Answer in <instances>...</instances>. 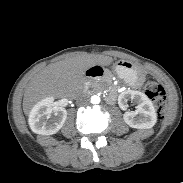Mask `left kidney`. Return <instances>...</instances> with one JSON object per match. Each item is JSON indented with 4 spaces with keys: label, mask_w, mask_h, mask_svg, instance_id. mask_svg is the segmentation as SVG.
<instances>
[{
    "label": "left kidney",
    "mask_w": 183,
    "mask_h": 183,
    "mask_svg": "<svg viewBox=\"0 0 183 183\" xmlns=\"http://www.w3.org/2000/svg\"><path fill=\"white\" fill-rule=\"evenodd\" d=\"M128 100L134 101L136 111H126L128 108ZM119 107L126 111L123 119L127 125L136 129H150L157 121V114L152 101L142 92L127 90L118 96Z\"/></svg>",
    "instance_id": "obj_1"
}]
</instances>
